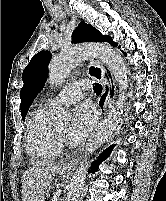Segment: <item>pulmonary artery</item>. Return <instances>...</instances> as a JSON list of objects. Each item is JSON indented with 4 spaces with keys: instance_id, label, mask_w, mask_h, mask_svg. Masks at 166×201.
Instances as JSON below:
<instances>
[{
    "instance_id": "obj_1",
    "label": "pulmonary artery",
    "mask_w": 166,
    "mask_h": 201,
    "mask_svg": "<svg viewBox=\"0 0 166 201\" xmlns=\"http://www.w3.org/2000/svg\"><path fill=\"white\" fill-rule=\"evenodd\" d=\"M91 87V83L87 80H79L68 84L58 95L48 101V103L57 102L60 104H71L79 101L83 97L84 90Z\"/></svg>"
}]
</instances>
